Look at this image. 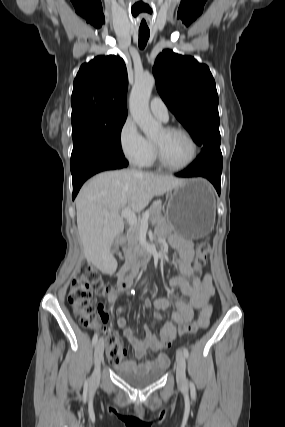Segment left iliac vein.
Listing matches in <instances>:
<instances>
[{
    "label": "left iliac vein",
    "instance_id": "left-iliac-vein-1",
    "mask_svg": "<svg viewBox=\"0 0 285 427\" xmlns=\"http://www.w3.org/2000/svg\"><path fill=\"white\" fill-rule=\"evenodd\" d=\"M176 379L177 384L181 389H186L188 386L185 369H186V361L185 356L181 350H177L176 353Z\"/></svg>",
    "mask_w": 285,
    "mask_h": 427
}]
</instances>
